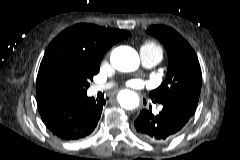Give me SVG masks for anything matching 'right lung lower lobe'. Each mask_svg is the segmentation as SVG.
Returning a JSON list of instances; mask_svg holds the SVG:
<instances>
[{"instance_id": "98d812e1", "label": "right lung lower lobe", "mask_w": 240, "mask_h": 160, "mask_svg": "<svg viewBox=\"0 0 240 160\" xmlns=\"http://www.w3.org/2000/svg\"><path fill=\"white\" fill-rule=\"evenodd\" d=\"M106 101L87 95L76 98L52 96L38 103L44 124L59 139H82L95 129Z\"/></svg>"}]
</instances>
